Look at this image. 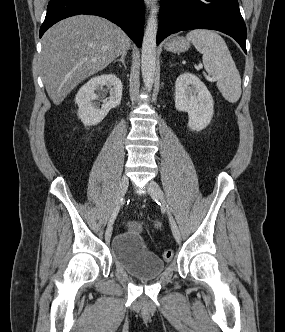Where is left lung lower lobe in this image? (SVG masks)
I'll use <instances>...</instances> for the list:
<instances>
[{
	"instance_id": "1",
	"label": "left lung lower lobe",
	"mask_w": 285,
	"mask_h": 332,
	"mask_svg": "<svg viewBox=\"0 0 285 332\" xmlns=\"http://www.w3.org/2000/svg\"><path fill=\"white\" fill-rule=\"evenodd\" d=\"M200 28L233 37L246 53V25L237 0H161L157 44L178 31Z\"/></svg>"
}]
</instances>
